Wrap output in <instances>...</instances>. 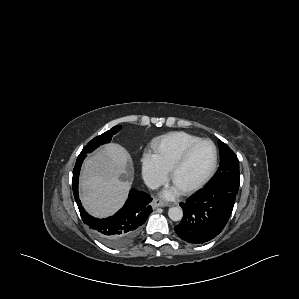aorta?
I'll list each match as a JSON object with an SVG mask.
<instances>
[{"label":"aorta","instance_id":"1","mask_svg":"<svg viewBox=\"0 0 299 299\" xmlns=\"http://www.w3.org/2000/svg\"><path fill=\"white\" fill-rule=\"evenodd\" d=\"M168 216L172 221H180L183 218V210L180 207H171Z\"/></svg>","mask_w":299,"mask_h":299}]
</instances>
